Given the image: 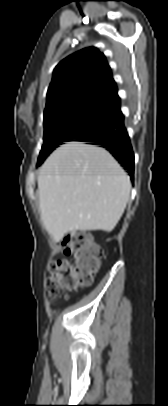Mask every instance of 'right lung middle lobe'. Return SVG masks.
Instances as JSON below:
<instances>
[{
	"instance_id": "1",
	"label": "right lung middle lobe",
	"mask_w": 168,
	"mask_h": 406,
	"mask_svg": "<svg viewBox=\"0 0 168 406\" xmlns=\"http://www.w3.org/2000/svg\"><path fill=\"white\" fill-rule=\"evenodd\" d=\"M114 117L110 105L85 103L67 106L44 115V137L37 165L63 142L82 138L108 124Z\"/></svg>"
}]
</instances>
